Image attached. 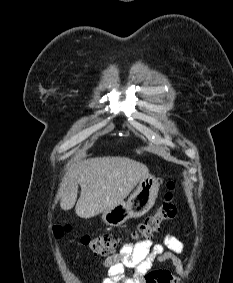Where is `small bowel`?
I'll list each match as a JSON object with an SVG mask.
<instances>
[{
  "instance_id": "c3829d8e",
  "label": "small bowel",
  "mask_w": 233,
  "mask_h": 283,
  "mask_svg": "<svg viewBox=\"0 0 233 283\" xmlns=\"http://www.w3.org/2000/svg\"><path fill=\"white\" fill-rule=\"evenodd\" d=\"M184 245L174 235L168 234L161 243L151 239L141 240L135 245L126 244L118 254L108 257L103 265L107 276L102 283H174V276L164 270H152L155 261H171L179 275L185 273V265L177 257ZM125 268L134 269L132 277H126Z\"/></svg>"
}]
</instances>
